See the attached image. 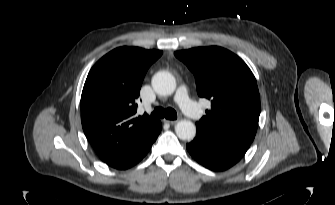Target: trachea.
Masks as SVG:
<instances>
[{"instance_id":"1","label":"trachea","mask_w":335,"mask_h":205,"mask_svg":"<svg viewBox=\"0 0 335 205\" xmlns=\"http://www.w3.org/2000/svg\"><path fill=\"white\" fill-rule=\"evenodd\" d=\"M151 116L157 117V118H166L169 120H175L177 119V113L172 108L164 109L162 107H156L154 111L151 113Z\"/></svg>"}]
</instances>
